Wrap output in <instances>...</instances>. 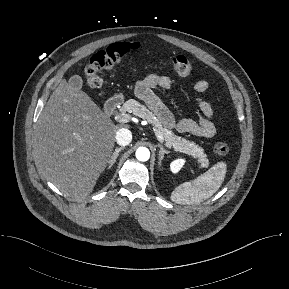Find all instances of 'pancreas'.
<instances>
[{
  "mask_svg": "<svg viewBox=\"0 0 289 289\" xmlns=\"http://www.w3.org/2000/svg\"><path fill=\"white\" fill-rule=\"evenodd\" d=\"M126 111L131 112L140 118L147 119L162 133L166 146L173 148L175 151H179L196 158L200 164L199 168L207 167L209 165L207 155L202 147L198 146L194 142L176 136L171 130L160 122L152 111H150L144 105L140 104L136 100L130 99L126 101L121 108V112Z\"/></svg>",
  "mask_w": 289,
  "mask_h": 289,
  "instance_id": "cf45deb5",
  "label": "pancreas"
}]
</instances>
